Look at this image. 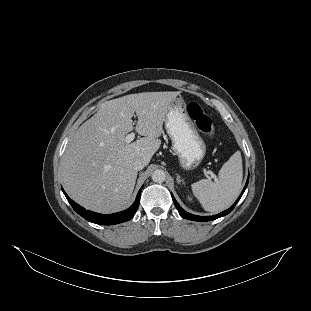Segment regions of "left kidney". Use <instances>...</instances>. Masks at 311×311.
<instances>
[{
	"instance_id": "1",
	"label": "left kidney",
	"mask_w": 311,
	"mask_h": 311,
	"mask_svg": "<svg viewBox=\"0 0 311 311\" xmlns=\"http://www.w3.org/2000/svg\"><path fill=\"white\" fill-rule=\"evenodd\" d=\"M188 200H189V201H192V198H191L190 196H188Z\"/></svg>"
}]
</instances>
